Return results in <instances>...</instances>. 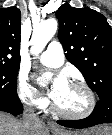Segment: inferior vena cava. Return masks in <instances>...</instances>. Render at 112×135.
Instances as JSON below:
<instances>
[{"mask_svg":"<svg viewBox=\"0 0 112 135\" xmlns=\"http://www.w3.org/2000/svg\"><path fill=\"white\" fill-rule=\"evenodd\" d=\"M23 123L26 126H31V125L39 123V118L34 113V109L32 107H29L25 110L23 114Z\"/></svg>","mask_w":112,"mask_h":135,"instance_id":"602c4592","label":"inferior vena cava"}]
</instances>
